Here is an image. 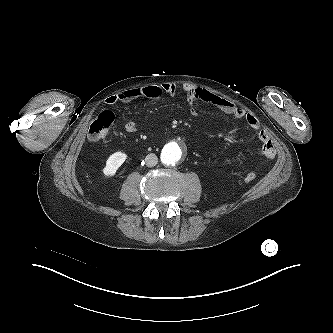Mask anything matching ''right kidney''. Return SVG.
<instances>
[{"mask_svg":"<svg viewBox=\"0 0 333 333\" xmlns=\"http://www.w3.org/2000/svg\"><path fill=\"white\" fill-rule=\"evenodd\" d=\"M127 155L123 152H115L106 161L103 169L105 176H114L119 167L125 162Z\"/></svg>","mask_w":333,"mask_h":333,"instance_id":"ca27d5eb","label":"right kidney"}]
</instances>
